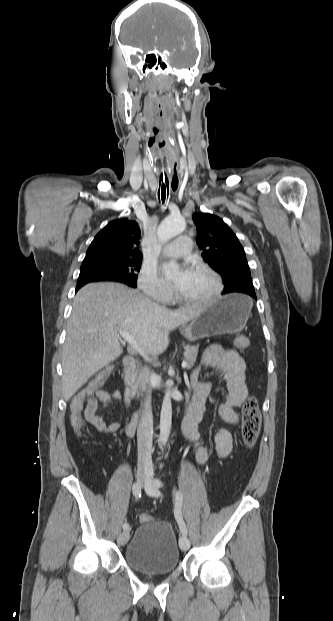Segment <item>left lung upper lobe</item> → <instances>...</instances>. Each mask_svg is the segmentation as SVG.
Listing matches in <instances>:
<instances>
[{
  "instance_id": "obj_1",
  "label": "left lung upper lobe",
  "mask_w": 333,
  "mask_h": 621,
  "mask_svg": "<svg viewBox=\"0 0 333 621\" xmlns=\"http://www.w3.org/2000/svg\"><path fill=\"white\" fill-rule=\"evenodd\" d=\"M192 218L204 261L223 279L222 294L254 291L245 251L234 232L218 216L194 213Z\"/></svg>"
}]
</instances>
